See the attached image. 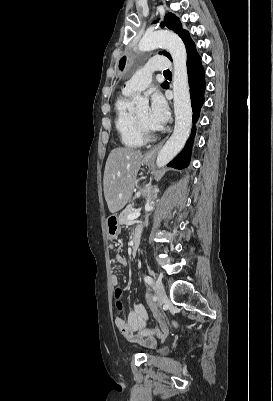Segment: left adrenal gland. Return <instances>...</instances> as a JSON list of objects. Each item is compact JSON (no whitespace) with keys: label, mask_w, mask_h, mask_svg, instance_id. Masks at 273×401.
Segmentation results:
<instances>
[{"label":"left adrenal gland","mask_w":273,"mask_h":401,"mask_svg":"<svg viewBox=\"0 0 273 401\" xmlns=\"http://www.w3.org/2000/svg\"><path fill=\"white\" fill-rule=\"evenodd\" d=\"M154 196H157V194H151L150 190L147 192V203L151 201V198H154Z\"/></svg>","instance_id":"left-adrenal-gland-1"}]
</instances>
